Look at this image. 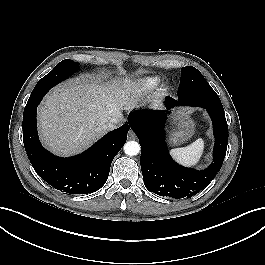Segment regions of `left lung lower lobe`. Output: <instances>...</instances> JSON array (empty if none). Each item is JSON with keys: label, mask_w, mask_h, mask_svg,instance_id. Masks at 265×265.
<instances>
[{"label": "left lung lower lobe", "mask_w": 265, "mask_h": 265, "mask_svg": "<svg viewBox=\"0 0 265 265\" xmlns=\"http://www.w3.org/2000/svg\"><path fill=\"white\" fill-rule=\"evenodd\" d=\"M215 93L211 89H201L190 100L166 97L165 110L143 109L130 114L128 123L140 140L141 171L150 192L176 199L190 198L206 187L219 172L227 150L228 126L224 109L220 110L208 103L215 97ZM178 105L202 107L212 119L214 159L205 170L180 166L169 155L165 144V120L169 110Z\"/></svg>", "instance_id": "0a47b994"}]
</instances>
